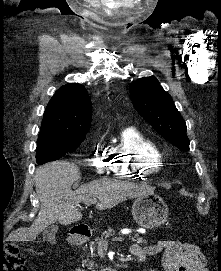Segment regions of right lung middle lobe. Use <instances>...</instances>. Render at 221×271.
I'll list each match as a JSON object with an SVG mask.
<instances>
[{
    "mask_svg": "<svg viewBox=\"0 0 221 271\" xmlns=\"http://www.w3.org/2000/svg\"><path fill=\"white\" fill-rule=\"evenodd\" d=\"M85 139L80 136L39 135L36 149V162L39 165L60 159L74 152Z\"/></svg>",
    "mask_w": 221,
    "mask_h": 271,
    "instance_id": "obj_1",
    "label": "right lung middle lobe"
}]
</instances>
